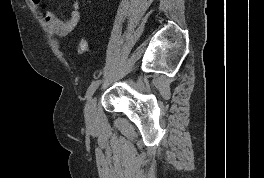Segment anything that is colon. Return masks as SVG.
Instances as JSON below:
<instances>
[{
    "mask_svg": "<svg viewBox=\"0 0 264 178\" xmlns=\"http://www.w3.org/2000/svg\"><path fill=\"white\" fill-rule=\"evenodd\" d=\"M39 2V0L37 1ZM89 49V45H88V41L86 38H81L78 43H77V52L80 55H84L88 52Z\"/></svg>",
    "mask_w": 264,
    "mask_h": 178,
    "instance_id": "5ec220e1",
    "label": "colon"
}]
</instances>
